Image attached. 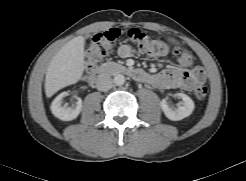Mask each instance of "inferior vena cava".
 Returning <instances> with one entry per match:
<instances>
[{
    "instance_id": "602c4592",
    "label": "inferior vena cava",
    "mask_w": 246,
    "mask_h": 181,
    "mask_svg": "<svg viewBox=\"0 0 246 181\" xmlns=\"http://www.w3.org/2000/svg\"><path fill=\"white\" fill-rule=\"evenodd\" d=\"M113 80L107 75H101L96 81V88L99 91H108L112 88Z\"/></svg>"
}]
</instances>
